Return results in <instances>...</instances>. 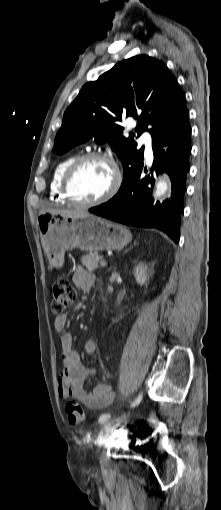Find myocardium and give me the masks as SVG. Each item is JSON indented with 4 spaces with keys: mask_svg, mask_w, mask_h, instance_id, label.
Returning <instances> with one entry per match:
<instances>
[{
    "mask_svg": "<svg viewBox=\"0 0 221 510\" xmlns=\"http://www.w3.org/2000/svg\"><path fill=\"white\" fill-rule=\"evenodd\" d=\"M95 159L103 160V161L107 162L112 167V170L114 173L113 184H112L111 188L108 190V192L105 193L100 198L93 200V201H88V202L79 201L71 193V190H70L71 181H72L76 171L79 169V167L83 163H85L89 160H95ZM121 185H122V173H121V170H120L119 165L116 162V160L110 154L105 153V152H88V153H85V154H82V155L76 157V159L69 165V167L65 171L63 178H62L61 192H62L64 198L70 204H72L76 207H81V208H91V207L101 205V204L106 203L107 201L111 200L118 193V191L121 188Z\"/></svg>",
    "mask_w": 221,
    "mask_h": 510,
    "instance_id": "1",
    "label": "myocardium"
}]
</instances>
